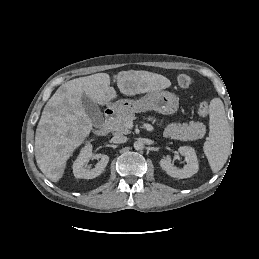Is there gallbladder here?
I'll return each instance as SVG.
<instances>
[{"label": "gallbladder", "instance_id": "gallbladder-1", "mask_svg": "<svg viewBox=\"0 0 259 259\" xmlns=\"http://www.w3.org/2000/svg\"><path fill=\"white\" fill-rule=\"evenodd\" d=\"M83 108L92 121V124L99 127L103 124L104 118L98 105L92 101L87 95L81 97Z\"/></svg>", "mask_w": 259, "mask_h": 259}]
</instances>
